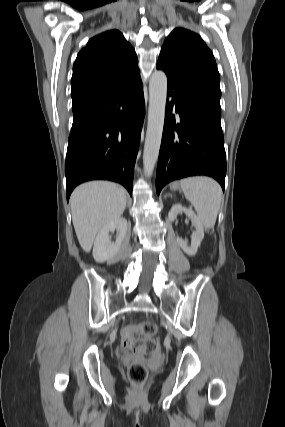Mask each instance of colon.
I'll return each instance as SVG.
<instances>
[{"mask_svg":"<svg viewBox=\"0 0 285 427\" xmlns=\"http://www.w3.org/2000/svg\"><path fill=\"white\" fill-rule=\"evenodd\" d=\"M157 325L150 321H142L124 328L122 339L124 346L138 354L155 355L160 352L156 339ZM148 371L139 361H133L128 368V377L135 386H142L146 381Z\"/></svg>","mask_w":285,"mask_h":427,"instance_id":"obj_1","label":"colon"}]
</instances>
